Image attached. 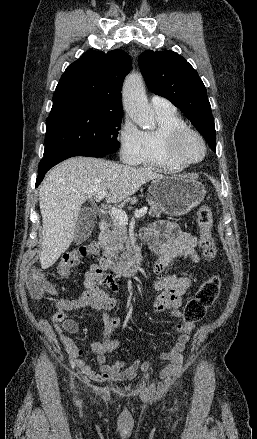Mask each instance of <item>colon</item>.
I'll return each mask as SVG.
<instances>
[{
    "label": "colon",
    "instance_id": "colon-1",
    "mask_svg": "<svg viewBox=\"0 0 257 439\" xmlns=\"http://www.w3.org/2000/svg\"><path fill=\"white\" fill-rule=\"evenodd\" d=\"M196 218L204 256L207 260L212 261L216 256L217 248L212 236L213 213L210 206L201 205L197 210ZM98 252L99 248L95 242H86L65 253L59 266V274L67 276L70 269L79 264L81 258L93 257ZM26 283L32 296L37 299H43L55 293L53 285L38 269L32 268L28 271ZM220 288L221 279L216 274L210 276L200 285L195 295L187 301L184 307L181 321L177 325L179 332L184 331L188 325L200 321L205 316L207 310L217 299Z\"/></svg>",
    "mask_w": 257,
    "mask_h": 439
}]
</instances>
